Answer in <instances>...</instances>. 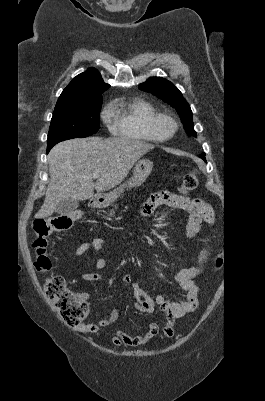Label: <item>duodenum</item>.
Wrapping results in <instances>:
<instances>
[{"label":"duodenum","instance_id":"1","mask_svg":"<svg viewBox=\"0 0 265 401\" xmlns=\"http://www.w3.org/2000/svg\"><path fill=\"white\" fill-rule=\"evenodd\" d=\"M92 205H93V207H98L99 206V202L97 200H94Z\"/></svg>","mask_w":265,"mask_h":401}]
</instances>
